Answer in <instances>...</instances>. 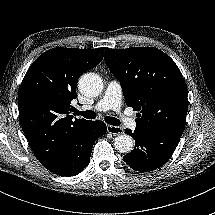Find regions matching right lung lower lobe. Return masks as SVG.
<instances>
[{
	"label": "right lung lower lobe",
	"mask_w": 215,
	"mask_h": 215,
	"mask_svg": "<svg viewBox=\"0 0 215 215\" xmlns=\"http://www.w3.org/2000/svg\"><path fill=\"white\" fill-rule=\"evenodd\" d=\"M107 131L103 121H87L71 132L59 159L48 170L61 176L79 174L90 160L93 144Z\"/></svg>",
	"instance_id": "right-lung-lower-lobe-1"
}]
</instances>
